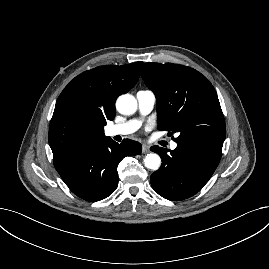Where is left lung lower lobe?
<instances>
[{"mask_svg": "<svg viewBox=\"0 0 269 269\" xmlns=\"http://www.w3.org/2000/svg\"><path fill=\"white\" fill-rule=\"evenodd\" d=\"M170 151L159 146L151 147L162 158L159 170L151 175L153 189L169 200L187 199L208 182L217 168L223 142L207 140L176 141Z\"/></svg>", "mask_w": 269, "mask_h": 269, "instance_id": "1", "label": "left lung lower lobe"}]
</instances>
